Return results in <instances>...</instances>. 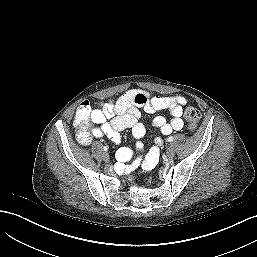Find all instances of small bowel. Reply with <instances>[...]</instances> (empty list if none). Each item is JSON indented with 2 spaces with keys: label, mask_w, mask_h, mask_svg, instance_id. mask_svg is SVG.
<instances>
[{
  "label": "small bowel",
  "mask_w": 257,
  "mask_h": 257,
  "mask_svg": "<svg viewBox=\"0 0 257 257\" xmlns=\"http://www.w3.org/2000/svg\"><path fill=\"white\" fill-rule=\"evenodd\" d=\"M187 104V99L183 96H151L148 92L141 89H130L124 93L116 105H107L102 109H91L89 121L97 124L91 131L86 126H81L78 122L77 110L75 124L78 127L77 140L84 145L90 144L93 138H100L106 135L114 143L120 142V131L131 129L136 139L142 138L146 129L140 122L141 110L153 114L158 111L166 110L170 113V118L156 116L152 125L158 128L163 135H169L174 131H179L183 127V108ZM160 139H156L153 146L145 157L133 156V152L127 148L117 151V158L120 162H128L132 159L131 167L141 166L145 170L152 169L158 160V146ZM143 145L137 144V149L141 150ZM123 169V167H121Z\"/></svg>",
  "instance_id": "c3829d8e"
}]
</instances>
